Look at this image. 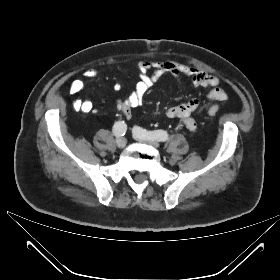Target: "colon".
Masks as SVG:
<instances>
[{"mask_svg": "<svg viewBox=\"0 0 280 280\" xmlns=\"http://www.w3.org/2000/svg\"><path fill=\"white\" fill-rule=\"evenodd\" d=\"M217 113H218V109L215 108V107H210L208 109V114L211 115V116H215Z\"/></svg>", "mask_w": 280, "mask_h": 280, "instance_id": "1", "label": "colon"}]
</instances>
